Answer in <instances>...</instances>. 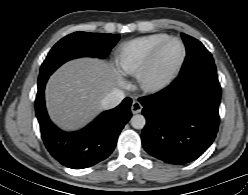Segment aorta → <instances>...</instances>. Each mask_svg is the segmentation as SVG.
Listing matches in <instances>:
<instances>
[{"mask_svg":"<svg viewBox=\"0 0 248 195\" xmlns=\"http://www.w3.org/2000/svg\"><path fill=\"white\" fill-rule=\"evenodd\" d=\"M146 124V119L143 115L137 114L132 116L131 125L135 129H143Z\"/></svg>","mask_w":248,"mask_h":195,"instance_id":"762f6f07","label":"aorta"}]
</instances>
